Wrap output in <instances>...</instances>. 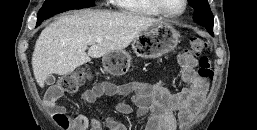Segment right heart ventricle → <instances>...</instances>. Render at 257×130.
<instances>
[{
    "label": "right heart ventricle",
    "mask_w": 257,
    "mask_h": 130,
    "mask_svg": "<svg viewBox=\"0 0 257 130\" xmlns=\"http://www.w3.org/2000/svg\"><path fill=\"white\" fill-rule=\"evenodd\" d=\"M123 12L138 16H158L161 13L152 5L151 0H114Z\"/></svg>",
    "instance_id": "obj_1"
}]
</instances>
